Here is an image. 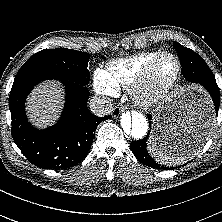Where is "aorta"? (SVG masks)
I'll return each instance as SVG.
<instances>
[{"label":"aorta","mask_w":222,"mask_h":222,"mask_svg":"<svg viewBox=\"0 0 222 222\" xmlns=\"http://www.w3.org/2000/svg\"><path fill=\"white\" fill-rule=\"evenodd\" d=\"M120 124L124 135L134 140L144 138L148 131V121L138 111L124 113L121 116Z\"/></svg>","instance_id":"aorta-1"}]
</instances>
